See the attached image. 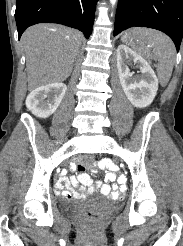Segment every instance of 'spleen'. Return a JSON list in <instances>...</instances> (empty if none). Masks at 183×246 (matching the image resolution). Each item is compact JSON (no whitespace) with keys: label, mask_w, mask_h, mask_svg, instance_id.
<instances>
[{"label":"spleen","mask_w":183,"mask_h":246,"mask_svg":"<svg viewBox=\"0 0 183 246\" xmlns=\"http://www.w3.org/2000/svg\"><path fill=\"white\" fill-rule=\"evenodd\" d=\"M137 44H132L134 48L141 54L150 56L147 48L150 46L153 55L157 58L159 64L157 66V74L162 86H166L175 63L176 50L172 40L160 31L153 29L139 28L136 29ZM147 45V46H146Z\"/></svg>","instance_id":"3e777b00"}]
</instances>
